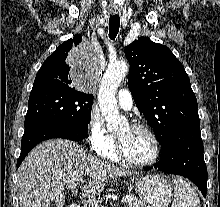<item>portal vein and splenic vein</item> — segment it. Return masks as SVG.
<instances>
[{
	"label": "portal vein and splenic vein",
	"mask_w": 220,
	"mask_h": 207,
	"mask_svg": "<svg viewBox=\"0 0 220 207\" xmlns=\"http://www.w3.org/2000/svg\"><path fill=\"white\" fill-rule=\"evenodd\" d=\"M76 187H77V184H76V183H72V184H69V185H68V189L71 190L72 192H75ZM132 199H133V198L130 197V196H125V197L122 198L121 203H126V202H128V201H131ZM89 205H90L91 207H99L98 202H95V201H91V202L89 203Z\"/></svg>",
	"instance_id": "18ae733b"
}]
</instances>
